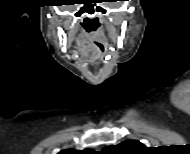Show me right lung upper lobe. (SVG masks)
Listing matches in <instances>:
<instances>
[{
  "label": "right lung upper lobe",
  "instance_id": "right-lung-upper-lobe-1",
  "mask_svg": "<svg viewBox=\"0 0 190 154\" xmlns=\"http://www.w3.org/2000/svg\"><path fill=\"white\" fill-rule=\"evenodd\" d=\"M84 151H91V150H84ZM78 151L73 149H67L59 152L58 154H76Z\"/></svg>",
  "mask_w": 190,
  "mask_h": 154
}]
</instances>
